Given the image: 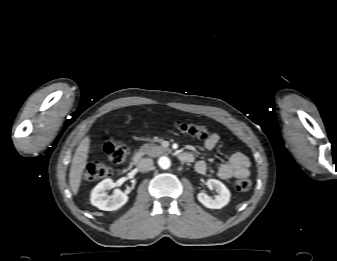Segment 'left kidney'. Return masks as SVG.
I'll list each match as a JSON object with an SVG mask.
<instances>
[{
	"mask_svg": "<svg viewBox=\"0 0 337 261\" xmlns=\"http://www.w3.org/2000/svg\"><path fill=\"white\" fill-rule=\"evenodd\" d=\"M207 185L211 188H214L217 192V195L212 198L209 197L206 193L200 192L197 195L199 202L210 209H220L228 204L231 193L222 182L216 179H208Z\"/></svg>",
	"mask_w": 337,
	"mask_h": 261,
	"instance_id": "1",
	"label": "left kidney"
}]
</instances>
